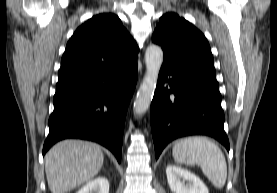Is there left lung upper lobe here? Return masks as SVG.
<instances>
[{
    "instance_id": "1",
    "label": "left lung upper lobe",
    "mask_w": 277,
    "mask_h": 193,
    "mask_svg": "<svg viewBox=\"0 0 277 193\" xmlns=\"http://www.w3.org/2000/svg\"><path fill=\"white\" fill-rule=\"evenodd\" d=\"M152 41L164 52V62L184 69L215 72L214 60L205 36L175 13L159 19Z\"/></svg>"
}]
</instances>
